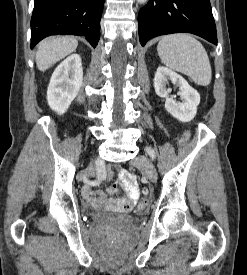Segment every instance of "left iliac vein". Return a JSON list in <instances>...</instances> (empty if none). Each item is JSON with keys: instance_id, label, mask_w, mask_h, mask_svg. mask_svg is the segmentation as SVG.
Listing matches in <instances>:
<instances>
[{"instance_id": "left-iliac-vein-1", "label": "left iliac vein", "mask_w": 247, "mask_h": 275, "mask_svg": "<svg viewBox=\"0 0 247 275\" xmlns=\"http://www.w3.org/2000/svg\"><path fill=\"white\" fill-rule=\"evenodd\" d=\"M132 164L139 168L150 181H156L157 172L150 159L145 156H138L133 160Z\"/></svg>"}]
</instances>
